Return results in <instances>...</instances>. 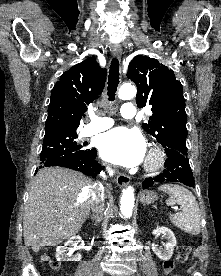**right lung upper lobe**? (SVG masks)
Returning <instances> with one entry per match:
<instances>
[{"mask_svg": "<svg viewBox=\"0 0 221 276\" xmlns=\"http://www.w3.org/2000/svg\"><path fill=\"white\" fill-rule=\"evenodd\" d=\"M106 74L94 57L64 72L51 92L45 134L76 132L87 106L102 93Z\"/></svg>", "mask_w": 221, "mask_h": 276, "instance_id": "right-lung-upper-lobe-1", "label": "right lung upper lobe"}]
</instances>
